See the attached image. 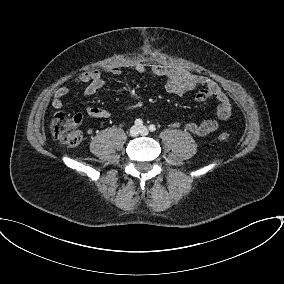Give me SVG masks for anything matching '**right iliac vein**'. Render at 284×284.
I'll return each instance as SVG.
<instances>
[{
    "label": "right iliac vein",
    "mask_w": 284,
    "mask_h": 284,
    "mask_svg": "<svg viewBox=\"0 0 284 284\" xmlns=\"http://www.w3.org/2000/svg\"><path fill=\"white\" fill-rule=\"evenodd\" d=\"M140 130L137 126H132L130 129V135L131 136H137L139 134Z\"/></svg>",
    "instance_id": "63e3f726"
}]
</instances>
